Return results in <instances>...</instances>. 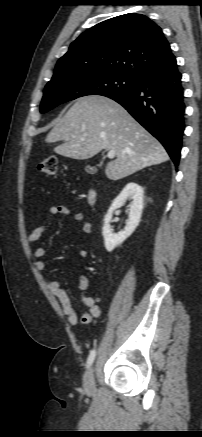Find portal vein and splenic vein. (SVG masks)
Returning a JSON list of instances; mask_svg holds the SVG:
<instances>
[{
	"mask_svg": "<svg viewBox=\"0 0 202 437\" xmlns=\"http://www.w3.org/2000/svg\"><path fill=\"white\" fill-rule=\"evenodd\" d=\"M107 157L110 158V159H113V158L115 157V151L110 150V151L108 152V154H107Z\"/></svg>",
	"mask_w": 202,
	"mask_h": 437,
	"instance_id": "portal-vein-and-splenic-vein-1",
	"label": "portal vein and splenic vein"
}]
</instances>
